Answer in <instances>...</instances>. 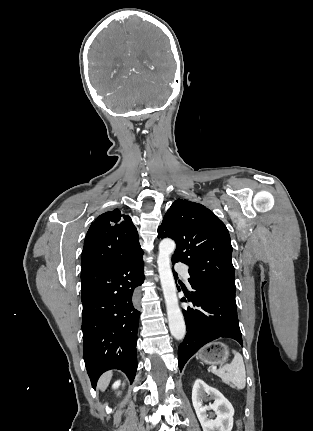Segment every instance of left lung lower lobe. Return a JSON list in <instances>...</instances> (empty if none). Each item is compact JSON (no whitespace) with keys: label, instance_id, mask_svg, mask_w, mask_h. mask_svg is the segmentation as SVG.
Segmentation results:
<instances>
[{"label":"left lung lower lobe","instance_id":"left-lung-lower-lobe-1","mask_svg":"<svg viewBox=\"0 0 313 431\" xmlns=\"http://www.w3.org/2000/svg\"><path fill=\"white\" fill-rule=\"evenodd\" d=\"M174 276L177 277L175 272ZM191 287L193 291L186 297L193 307L183 309L187 334L178 348L180 371L202 346L217 338H232L242 344L235 295L213 288Z\"/></svg>","mask_w":313,"mask_h":431}]
</instances>
